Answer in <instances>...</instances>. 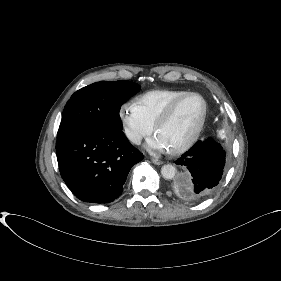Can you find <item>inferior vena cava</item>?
<instances>
[{
  "label": "inferior vena cava",
  "instance_id": "inferior-vena-cava-1",
  "mask_svg": "<svg viewBox=\"0 0 281 281\" xmlns=\"http://www.w3.org/2000/svg\"><path fill=\"white\" fill-rule=\"evenodd\" d=\"M127 137L129 138L130 141H132L135 144H140L141 143V137L134 134V133H127Z\"/></svg>",
  "mask_w": 281,
  "mask_h": 281
}]
</instances>
